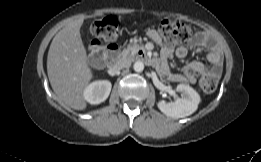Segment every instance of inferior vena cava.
Returning a JSON list of instances; mask_svg holds the SVG:
<instances>
[{
	"mask_svg": "<svg viewBox=\"0 0 261 162\" xmlns=\"http://www.w3.org/2000/svg\"><path fill=\"white\" fill-rule=\"evenodd\" d=\"M131 65V61L128 59H123L114 64L113 68L115 70H121L123 68H128Z\"/></svg>",
	"mask_w": 261,
	"mask_h": 162,
	"instance_id": "inferior-vena-cava-1",
	"label": "inferior vena cava"
}]
</instances>
